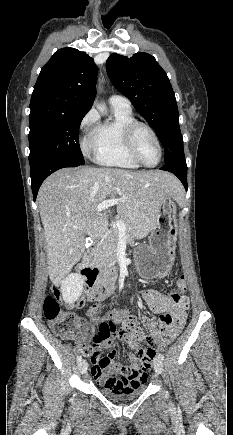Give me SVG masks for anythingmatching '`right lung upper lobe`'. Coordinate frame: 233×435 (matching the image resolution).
<instances>
[{
    "mask_svg": "<svg viewBox=\"0 0 233 435\" xmlns=\"http://www.w3.org/2000/svg\"><path fill=\"white\" fill-rule=\"evenodd\" d=\"M97 67L85 52L63 48L43 66L34 86L30 117L86 114L95 99Z\"/></svg>",
    "mask_w": 233,
    "mask_h": 435,
    "instance_id": "1",
    "label": "right lung upper lobe"
}]
</instances>
